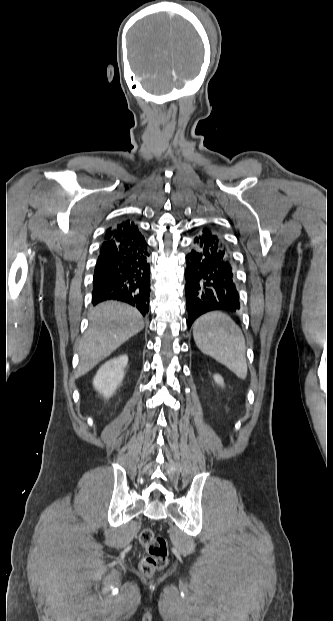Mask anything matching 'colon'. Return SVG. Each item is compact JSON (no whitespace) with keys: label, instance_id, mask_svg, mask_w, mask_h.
Instances as JSON below:
<instances>
[{"label":"colon","instance_id":"colon-1","mask_svg":"<svg viewBox=\"0 0 333 621\" xmlns=\"http://www.w3.org/2000/svg\"><path fill=\"white\" fill-rule=\"evenodd\" d=\"M139 541L146 550V555L139 563L140 571L146 576H151L167 564V542L164 537L156 535L150 528L141 530Z\"/></svg>","mask_w":333,"mask_h":621}]
</instances>
